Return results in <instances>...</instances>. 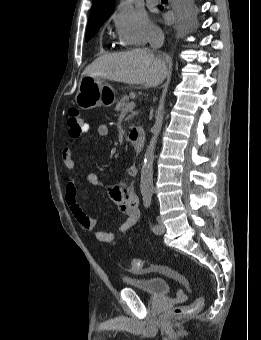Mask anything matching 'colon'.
Masks as SVG:
<instances>
[{
	"instance_id": "obj_1",
	"label": "colon",
	"mask_w": 261,
	"mask_h": 340,
	"mask_svg": "<svg viewBox=\"0 0 261 340\" xmlns=\"http://www.w3.org/2000/svg\"><path fill=\"white\" fill-rule=\"evenodd\" d=\"M67 125L69 134L72 138H78L85 132V121L77 109H70L67 116ZM142 267V261L138 258H132L129 261V268L132 271H139ZM204 298L199 296L191 304L176 307L172 310L174 315L193 314L202 309Z\"/></svg>"
}]
</instances>
